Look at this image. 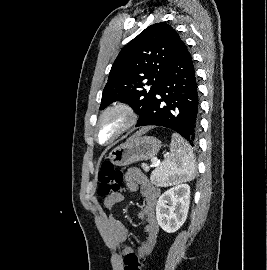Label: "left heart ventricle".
I'll return each instance as SVG.
<instances>
[{"mask_svg": "<svg viewBox=\"0 0 267 270\" xmlns=\"http://www.w3.org/2000/svg\"><path fill=\"white\" fill-rule=\"evenodd\" d=\"M125 116L121 112H115L106 116L101 122L98 136L101 142L109 141L124 125Z\"/></svg>", "mask_w": 267, "mask_h": 270, "instance_id": "b2bd125f", "label": "left heart ventricle"}]
</instances>
